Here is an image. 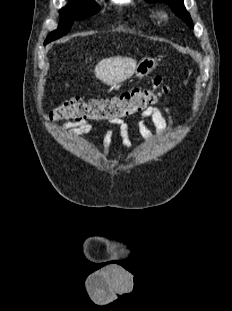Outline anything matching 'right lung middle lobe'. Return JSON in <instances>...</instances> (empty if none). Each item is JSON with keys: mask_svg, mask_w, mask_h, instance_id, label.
<instances>
[{"mask_svg": "<svg viewBox=\"0 0 232 311\" xmlns=\"http://www.w3.org/2000/svg\"><path fill=\"white\" fill-rule=\"evenodd\" d=\"M99 10V5L94 1H70L64 8L60 9L59 26L47 36L44 44H48L66 34L75 20L88 18Z\"/></svg>", "mask_w": 232, "mask_h": 311, "instance_id": "dd1d6c3e", "label": "right lung middle lobe"}]
</instances>
